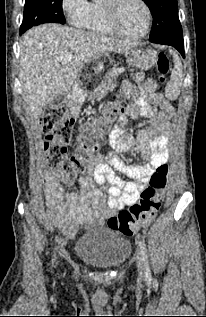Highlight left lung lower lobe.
<instances>
[{
  "label": "left lung lower lobe",
  "instance_id": "obj_1",
  "mask_svg": "<svg viewBox=\"0 0 206 317\" xmlns=\"http://www.w3.org/2000/svg\"><path fill=\"white\" fill-rule=\"evenodd\" d=\"M159 44H166V45H170L174 48H176L183 57H185V54H184V43L183 42H178V41H167V42H162V43H159Z\"/></svg>",
  "mask_w": 206,
  "mask_h": 317
}]
</instances>
